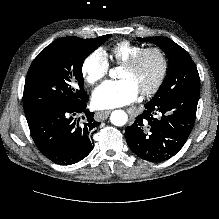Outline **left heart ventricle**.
Segmentation results:
<instances>
[{"label":"left heart ventricle","instance_id":"obj_1","mask_svg":"<svg viewBox=\"0 0 219 219\" xmlns=\"http://www.w3.org/2000/svg\"><path fill=\"white\" fill-rule=\"evenodd\" d=\"M161 67L160 58L155 53L145 55L134 69L122 67L119 79L129 80L138 91L150 87L156 80Z\"/></svg>","mask_w":219,"mask_h":219}]
</instances>
